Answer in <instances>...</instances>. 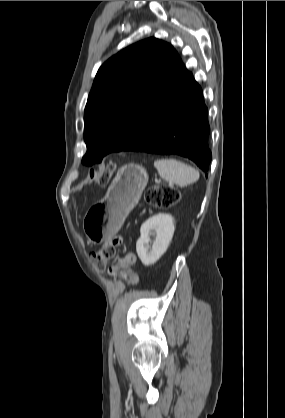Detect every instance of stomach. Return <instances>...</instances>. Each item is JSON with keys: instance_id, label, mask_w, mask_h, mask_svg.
<instances>
[{"instance_id": "1", "label": "stomach", "mask_w": 285, "mask_h": 418, "mask_svg": "<svg viewBox=\"0 0 285 418\" xmlns=\"http://www.w3.org/2000/svg\"><path fill=\"white\" fill-rule=\"evenodd\" d=\"M148 183L145 168L130 163L122 166L106 196L84 218V231L92 242H103L118 232L130 211L137 205Z\"/></svg>"}]
</instances>
